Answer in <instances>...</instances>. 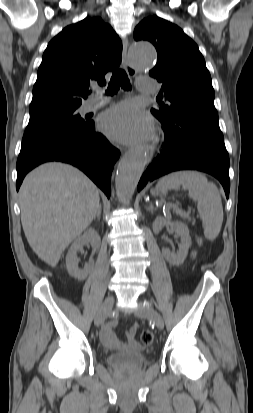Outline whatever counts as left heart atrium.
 I'll list each match as a JSON object with an SVG mask.
<instances>
[{"instance_id": "obj_1", "label": "left heart atrium", "mask_w": 253, "mask_h": 413, "mask_svg": "<svg viewBox=\"0 0 253 413\" xmlns=\"http://www.w3.org/2000/svg\"><path fill=\"white\" fill-rule=\"evenodd\" d=\"M99 128L117 141L135 143L151 136L153 123L147 113L132 103L124 102L101 115Z\"/></svg>"}]
</instances>
